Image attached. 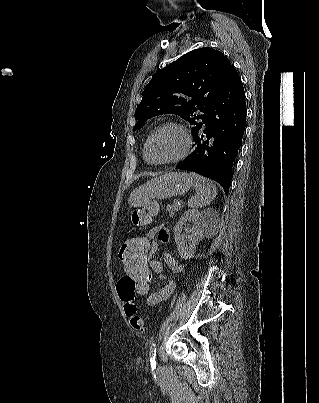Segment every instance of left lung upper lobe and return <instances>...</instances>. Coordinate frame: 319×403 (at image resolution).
<instances>
[{"label":"left lung upper lobe","mask_w":319,"mask_h":403,"mask_svg":"<svg viewBox=\"0 0 319 403\" xmlns=\"http://www.w3.org/2000/svg\"><path fill=\"white\" fill-rule=\"evenodd\" d=\"M232 65L221 52L205 47L181 56L154 75L142 93L135 111L140 128L148 119L176 114L187 120L193 135L224 84Z\"/></svg>","instance_id":"obj_1"}]
</instances>
